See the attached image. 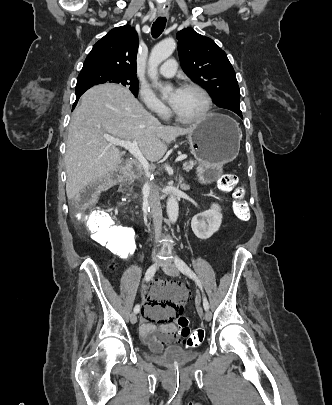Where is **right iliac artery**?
<instances>
[{"mask_svg":"<svg viewBox=\"0 0 332 405\" xmlns=\"http://www.w3.org/2000/svg\"><path fill=\"white\" fill-rule=\"evenodd\" d=\"M156 269H157V264H154V265H152L151 267L148 268V270L145 273V281L146 282H149L153 278V276H154V274L156 272ZM139 310H140V305L137 304L134 307V313H138Z\"/></svg>","mask_w":332,"mask_h":405,"instance_id":"1","label":"right iliac artery"}]
</instances>
